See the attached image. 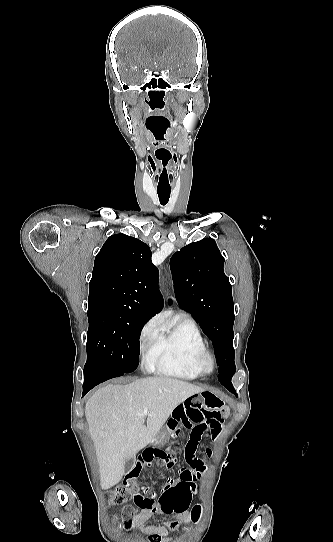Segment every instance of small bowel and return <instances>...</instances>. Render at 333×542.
Returning <instances> with one entry per match:
<instances>
[{
  "instance_id": "small-bowel-1",
  "label": "small bowel",
  "mask_w": 333,
  "mask_h": 542,
  "mask_svg": "<svg viewBox=\"0 0 333 542\" xmlns=\"http://www.w3.org/2000/svg\"><path fill=\"white\" fill-rule=\"evenodd\" d=\"M173 417L169 420L167 431L172 437H178L181 429H186L178 445L184 451V457L187 463L191 466L200 469L202 463L195 458L196 452L200 444L207 445L211 439H216L222 429L224 423V410L211 409L210 411L201 407L198 400H183L181 405L173 408ZM206 451L211 454V448L207 447ZM156 457L165 458L166 453L160 449L153 447H144L143 454L133 472L139 473L142 468L149 465ZM132 472V473H133ZM131 479H136V474H131ZM196 474L190 470H182L179 479L169 478L161 486L158 491H152L148 487H143L141 492L136 493L134 501L137 509L132 511L134 521L137 527L146 534L154 536L158 542H171L170 533L177 532L181 529V523L177 520H187L188 510H183L182 514L176 513V520L164 521L159 525H146V522L156 516L164 513H170L161 508V497H185L187 489H180L178 485L181 481L190 483ZM194 514H196L194 512ZM172 517L170 514L167 516Z\"/></svg>"
}]
</instances>
